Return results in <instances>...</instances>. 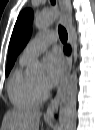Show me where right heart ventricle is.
Wrapping results in <instances>:
<instances>
[{"mask_svg": "<svg viewBox=\"0 0 95 130\" xmlns=\"http://www.w3.org/2000/svg\"><path fill=\"white\" fill-rule=\"evenodd\" d=\"M27 62L19 60V65L11 75L7 86L10 101L19 109L38 108L42 103V97L36 88L35 81L24 72Z\"/></svg>", "mask_w": 95, "mask_h": 130, "instance_id": "obj_1", "label": "right heart ventricle"}]
</instances>
